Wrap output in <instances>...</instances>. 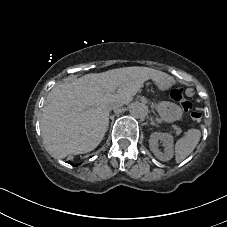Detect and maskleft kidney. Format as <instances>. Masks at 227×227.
<instances>
[{
  "label": "left kidney",
  "mask_w": 227,
  "mask_h": 227,
  "mask_svg": "<svg viewBox=\"0 0 227 227\" xmlns=\"http://www.w3.org/2000/svg\"><path fill=\"white\" fill-rule=\"evenodd\" d=\"M160 143H162L161 149L158 148ZM149 147L159 160L167 161L173 155V138L169 134L155 133L149 139Z\"/></svg>",
  "instance_id": "left-kidney-1"
}]
</instances>
